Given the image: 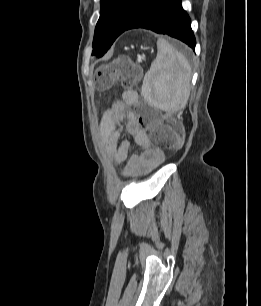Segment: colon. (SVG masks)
<instances>
[{
	"label": "colon",
	"instance_id": "obj_1",
	"mask_svg": "<svg viewBox=\"0 0 261 306\" xmlns=\"http://www.w3.org/2000/svg\"><path fill=\"white\" fill-rule=\"evenodd\" d=\"M140 76L139 67L128 57H118L106 64L100 65L95 72V82L101 89H106L119 82L127 91L134 86ZM139 120L150 131L153 145L159 149H171L178 146L179 135L171 125L163 124L154 110L139 111Z\"/></svg>",
	"mask_w": 261,
	"mask_h": 306
}]
</instances>
